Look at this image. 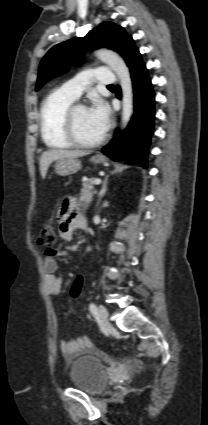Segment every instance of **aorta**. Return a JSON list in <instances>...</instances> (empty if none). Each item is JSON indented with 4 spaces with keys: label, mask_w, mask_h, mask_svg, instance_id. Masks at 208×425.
<instances>
[{
    "label": "aorta",
    "mask_w": 208,
    "mask_h": 425,
    "mask_svg": "<svg viewBox=\"0 0 208 425\" xmlns=\"http://www.w3.org/2000/svg\"><path fill=\"white\" fill-rule=\"evenodd\" d=\"M95 56L106 63L119 78L122 89V128H125L133 114V87L129 68L123 59L111 50H96Z\"/></svg>",
    "instance_id": "762f6f07"
}]
</instances>
